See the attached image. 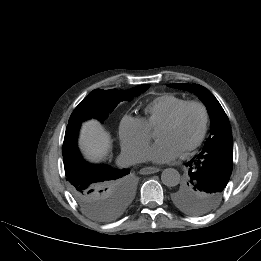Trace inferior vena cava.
Wrapping results in <instances>:
<instances>
[{
  "label": "inferior vena cava",
  "mask_w": 261,
  "mask_h": 261,
  "mask_svg": "<svg viewBox=\"0 0 261 261\" xmlns=\"http://www.w3.org/2000/svg\"><path fill=\"white\" fill-rule=\"evenodd\" d=\"M144 161L143 155L135 150L122 149L120 155L117 158V164L120 167H129L136 163Z\"/></svg>",
  "instance_id": "inferior-vena-cava-1"
}]
</instances>
